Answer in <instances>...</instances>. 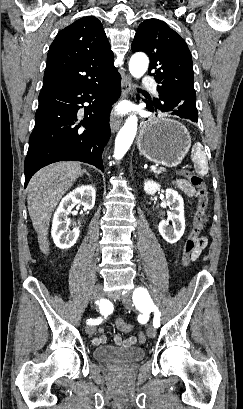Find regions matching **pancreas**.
Masks as SVG:
<instances>
[{"instance_id":"obj_1","label":"pancreas","mask_w":243,"mask_h":409,"mask_svg":"<svg viewBox=\"0 0 243 409\" xmlns=\"http://www.w3.org/2000/svg\"><path fill=\"white\" fill-rule=\"evenodd\" d=\"M163 172H165V169H164V168H160V169H158V170H154V171H153V173H154L155 175H159V174H161V173H163Z\"/></svg>"}]
</instances>
